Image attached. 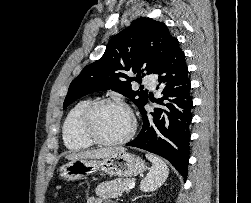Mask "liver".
Segmentation results:
<instances>
[{
    "mask_svg": "<svg viewBox=\"0 0 251 203\" xmlns=\"http://www.w3.org/2000/svg\"><path fill=\"white\" fill-rule=\"evenodd\" d=\"M123 148H101L96 150L83 151L78 153H72L67 155L65 158L71 161L78 160L81 158L90 159H104L118 150Z\"/></svg>",
    "mask_w": 251,
    "mask_h": 203,
    "instance_id": "liver-1",
    "label": "liver"
}]
</instances>
